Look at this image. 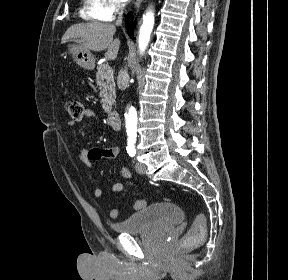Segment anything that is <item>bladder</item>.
<instances>
[{"label":"bladder","mask_w":288,"mask_h":280,"mask_svg":"<svg viewBox=\"0 0 288 280\" xmlns=\"http://www.w3.org/2000/svg\"><path fill=\"white\" fill-rule=\"evenodd\" d=\"M184 213L173 203H156L147 206L122 222L112 226L117 233L137 234L162 230L182 222Z\"/></svg>","instance_id":"1"}]
</instances>
